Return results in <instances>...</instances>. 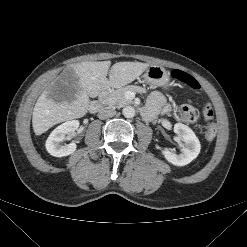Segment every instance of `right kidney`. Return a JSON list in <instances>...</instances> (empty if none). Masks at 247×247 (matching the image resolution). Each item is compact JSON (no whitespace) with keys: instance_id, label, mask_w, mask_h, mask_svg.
Returning <instances> with one entry per match:
<instances>
[{"instance_id":"right-kidney-1","label":"right kidney","mask_w":247,"mask_h":247,"mask_svg":"<svg viewBox=\"0 0 247 247\" xmlns=\"http://www.w3.org/2000/svg\"><path fill=\"white\" fill-rule=\"evenodd\" d=\"M79 127L78 120L67 121L55 128L46 140V149L50 155L63 157L72 154L76 150L75 143L60 145L67 134L73 133Z\"/></svg>"}]
</instances>
